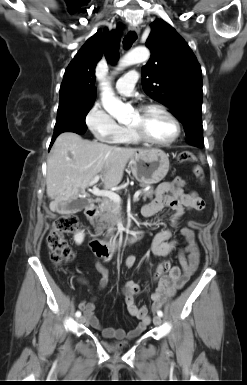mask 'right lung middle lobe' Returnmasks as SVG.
Masks as SVG:
<instances>
[{
  "label": "right lung middle lobe",
  "mask_w": 247,
  "mask_h": 385,
  "mask_svg": "<svg viewBox=\"0 0 247 385\" xmlns=\"http://www.w3.org/2000/svg\"><path fill=\"white\" fill-rule=\"evenodd\" d=\"M93 103L94 99L60 97L53 135H59L62 132L86 131L85 118Z\"/></svg>",
  "instance_id": "obj_1"
}]
</instances>
